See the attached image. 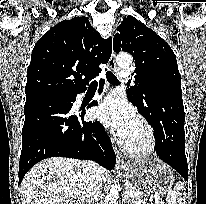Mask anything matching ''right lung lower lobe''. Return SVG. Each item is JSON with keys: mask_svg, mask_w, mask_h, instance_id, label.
Here are the masks:
<instances>
[{"mask_svg": "<svg viewBox=\"0 0 206 204\" xmlns=\"http://www.w3.org/2000/svg\"><path fill=\"white\" fill-rule=\"evenodd\" d=\"M103 83L101 80L99 93ZM78 93L44 94L26 99L19 183L33 165L54 156L94 160L109 170L115 167V153L102 124L85 122V113L71 111ZM96 104L94 101L89 106Z\"/></svg>", "mask_w": 206, "mask_h": 204, "instance_id": "1", "label": "right lung lower lobe"}]
</instances>
